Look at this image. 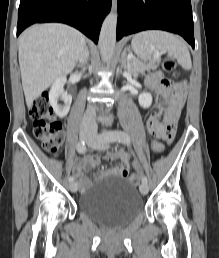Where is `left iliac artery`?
I'll list each match as a JSON object with an SVG mask.
<instances>
[{"label":"left iliac artery","instance_id":"44dca946","mask_svg":"<svg viewBox=\"0 0 219 258\" xmlns=\"http://www.w3.org/2000/svg\"><path fill=\"white\" fill-rule=\"evenodd\" d=\"M98 140L103 143L117 141L120 143H124L128 146L130 145V137L127 133L123 131H110L107 133H102L101 135H99ZM141 181L142 183L147 184V178L145 175L141 177Z\"/></svg>","mask_w":219,"mask_h":258}]
</instances>
